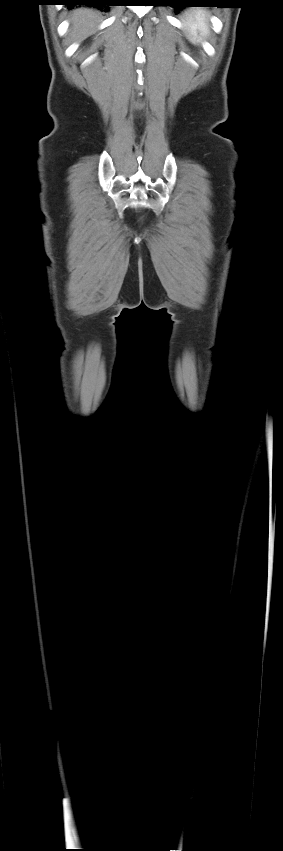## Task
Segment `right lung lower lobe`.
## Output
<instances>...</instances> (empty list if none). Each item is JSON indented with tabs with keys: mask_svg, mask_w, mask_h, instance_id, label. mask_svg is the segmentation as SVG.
<instances>
[{
	"mask_svg": "<svg viewBox=\"0 0 283 851\" xmlns=\"http://www.w3.org/2000/svg\"><path fill=\"white\" fill-rule=\"evenodd\" d=\"M60 1H64V2H66V4H68V5H93V6H99V7H100V9H103V6H105L106 10H108V7H107V6H112V5H113V4H110L111 0H60Z\"/></svg>",
	"mask_w": 283,
	"mask_h": 851,
	"instance_id": "1",
	"label": "right lung lower lobe"
}]
</instances>
